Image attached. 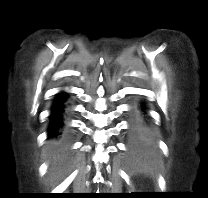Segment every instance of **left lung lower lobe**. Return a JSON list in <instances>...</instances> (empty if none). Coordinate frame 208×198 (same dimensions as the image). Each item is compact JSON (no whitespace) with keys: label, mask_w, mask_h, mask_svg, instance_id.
I'll use <instances>...</instances> for the list:
<instances>
[{"label":"left lung lower lobe","mask_w":208,"mask_h":198,"mask_svg":"<svg viewBox=\"0 0 208 198\" xmlns=\"http://www.w3.org/2000/svg\"><path fill=\"white\" fill-rule=\"evenodd\" d=\"M129 151L134 156H144L154 149L151 129L144 108L132 112L129 125Z\"/></svg>","instance_id":"obj_1"}]
</instances>
